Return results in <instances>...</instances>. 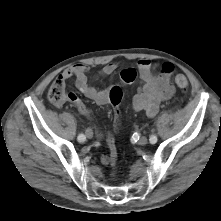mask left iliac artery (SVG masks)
<instances>
[{"label":"left iliac artery","instance_id":"left-iliac-artery-1","mask_svg":"<svg viewBox=\"0 0 221 221\" xmlns=\"http://www.w3.org/2000/svg\"><path fill=\"white\" fill-rule=\"evenodd\" d=\"M149 141L151 144H155L157 142V136L151 135Z\"/></svg>","mask_w":221,"mask_h":221}]
</instances>
